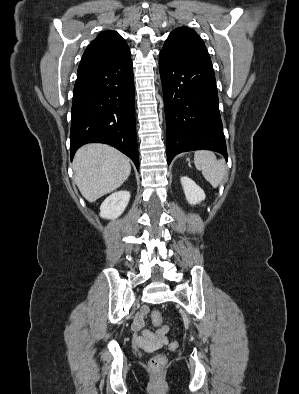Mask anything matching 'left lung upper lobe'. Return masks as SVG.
Segmentation results:
<instances>
[{
    "label": "left lung upper lobe",
    "instance_id": "1",
    "mask_svg": "<svg viewBox=\"0 0 299 394\" xmlns=\"http://www.w3.org/2000/svg\"><path fill=\"white\" fill-rule=\"evenodd\" d=\"M162 51L175 57L210 59L203 40L193 29L187 27L173 30L165 41Z\"/></svg>",
    "mask_w": 299,
    "mask_h": 394
}]
</instances>
